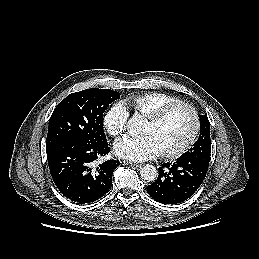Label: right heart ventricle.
Segmentation results:
<instances>
[{
  "instance_id": "right-heart-ventricle-1",
  "label": "right heart ventricle",
  "mask_w": 259,
  "mask_h": 259,
  "mask_svg": "<svg viewBox=\"0 0 259 259\" xmlns=\"http://www.w3.org/2000/svg\"><path fill=\"white\" fill-rule=\"evenodd\" d=\"M182 102L179 98L162 92H148L125 99V103L137 114L148 117L158 110L174 103Z\"/></svg>"
}]
</instances>
